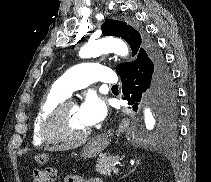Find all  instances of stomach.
<instances>
[{
    "label": "stomach",
    "instance_id": "1",
    "mask_svg": "<svg viewBox=\"0 0 211 182\" xmlns=\"http://www.w3.org/2000/svg\"><path fill=\"white\" fill-rule=\"evenodd\" d=\"M109 140L106 135H99L92 138L83 148L81 156L83 158H92L101 153L108 145Z\"/></svg>",
    "mask_w": 211,
    "mask_h": 182
}]
</instances>
